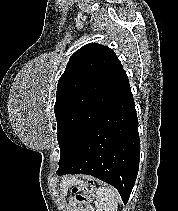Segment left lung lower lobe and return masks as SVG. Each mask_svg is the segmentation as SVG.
<instances>
[{"label":"left lung lower lobe","instance_id":"left-lung-lower-lobe-1","mask_svg":"<svg viewBox=\"0 0 178 211\" xmlns=\"http://www.w3.org/2000/svg\"><path fill=\"white\" fill-rule=\"evenodd\" d=\"M139 157L138 119L125 73L100 118L56 173L95 176L113 185L126 203L137 177Z\"/></svg>","mask_w":178,"mask_h":211}]
</instances>
